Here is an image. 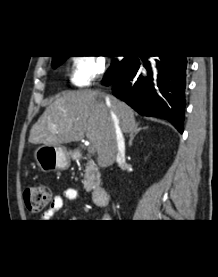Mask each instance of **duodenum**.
Masks as SVG:
<instances>
[{
	"label": "duodenum",
	"mask_w": 218,
	"mask_h": 277,
	"mask_svg": "<svg viewBox=\"0 0 218 277\" xmlns=\"http://www.w3.org/2000/svg\"><path fill=\"white\" fill-rule=\"evenodd\" d=\"M72 156L75 158L79 157L75 153H73ZM92 199L97 206L105 207L109 203V192L103 187H96L92 191Z\"/></svg>",
	"instance_id": "1"
}]
</instances>
